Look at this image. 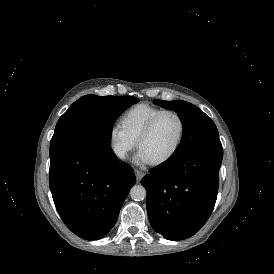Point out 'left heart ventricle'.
Masks as SVG:
<instances>
[{
  "mask_svg": "<svg viewBox=\"0 0 274 274\" xmlns=\"http://www.w3.org/2000/svg\"><path fill=\"white\" fill-rule=\"evenodd\" d=\"M179 129L180 123L175 115H163L152 132L140 142L138 150L144 153L148 162L162 159L172 150Z\"/></svg>",
  "mask_w": 274,
  "mask_h": 274,
  "instance_id": "1",
  "label": "left heart ventricle"
}]
</instances>
